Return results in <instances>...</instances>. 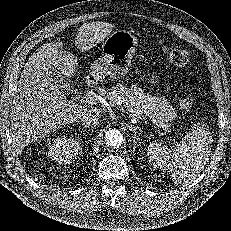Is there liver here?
Segmentation results:
<instances>
[{
    "label": "liver",
    "instance_id": "liver-1",
    "mask_svg": "<svg viewBox=\"0 0 231 231\" xmlns=\"http://www.w3.org/2000/svg\"><path fill=\"white\" fill-rule=\"evenodd\" d=\"M113 27L102 21L83 24L77 31L75 45L81 52L89 50L110 35ZM64 45L62 41L43 44L25 64L10 115L11 142L17 152L86 113L99 117L97 107L68 101L52 76L54 69L67 77L76 72L77 58L62 50Z\"/></svg>",
    "mask_w": 231,
    "mask_h": 231
}]
</instances>
